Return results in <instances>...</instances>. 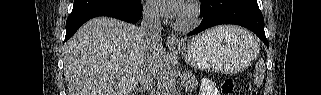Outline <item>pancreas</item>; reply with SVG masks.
I'll list each match as a JSON object with an SVG mask.
<instances>
[{
	"mask_svg": "<svg viewBox=\"0 0 321 95\" xmlns=\"http://www.w3.org/2000/svg\"><path fill=\"white\" fill-rule=\"evenodd\" d=\"M183 85L187 91L193 92L195 90L196 86L198 85V82H197L196 77L193 74L187 73L184 75Z\"/></svg>",
	"mask_w": 321,
	"mask_h": 95,
	"instance_id": "1",
	"label": "pancreas"
}]
</instances>
